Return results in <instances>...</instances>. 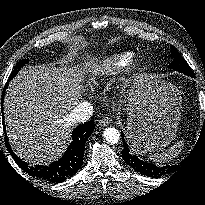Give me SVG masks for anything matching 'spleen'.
<instances>
[{
	"label": "spleen",
	"instance_id": "3e777b00",
	"mask_svg": "<svg viewBox=\"0 0 205 205\" xmlns=\"http://www.w3.org/2000/svg\"><path fill=\"white\" fill-rule=\"evenodd\" d=\"M181 148H182L181 144L174 145L171 148H169L166 152L151 155L150 160L155 162H164V161L172 160L180 153Z\"/></svg>",
	"mask_w": 205,
	"mask_h": 205
}]
</instances>
